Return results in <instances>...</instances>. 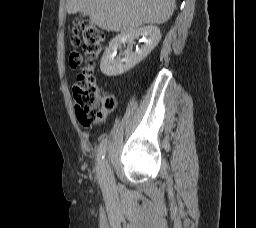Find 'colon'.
<instances>
[{"instance_id":"1","label":"colon","mask_w":256,"mask_h":228,"mask_svg":"<svg viewBox=\"0 0 256 228\" xmlns=\"http://www.w3.org/2000/svg\"><path fill=\"white\" fill-rule=\"evenodd\" d=\"M79 29L82 32L86 66L73 86V97L79 120L82 123H91L112 112L115 107V99L110 95H102L96 83L93 74L94 61L102 51L104 34L88 20L77 21L71 30L69 42L73 50L68 55L69 65L75 68L82 62L80 53L75 49L81 43Z\"/></svg>"}]
</instances>
